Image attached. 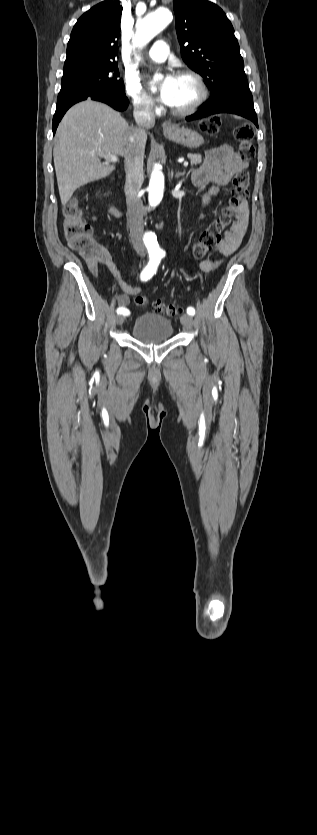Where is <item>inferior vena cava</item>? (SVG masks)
Here are the masks:
<instances>
[{
	"label": "inferior vena cava",
	"instance_id": "obj_1",
	"mask_svg": "<svg viewBox=\"0 0 317 835\" xmlns=\"http://www.w3.org/2000/svg\"><path fill=\"white\" fill-rule=\"evenodd\" d=\"M133 115L137 126L130 128L129 143L125 156V195L131 241L137 254L144 257L145 246L142 239L144 233V206L138 193L144 180L143 161L147 140L146 129L152 128L155 124L153 104L150 102L134 103Z\"/></svg>",
	"mask_w": 317,
	"mask_h": 835
}]
</instances>
